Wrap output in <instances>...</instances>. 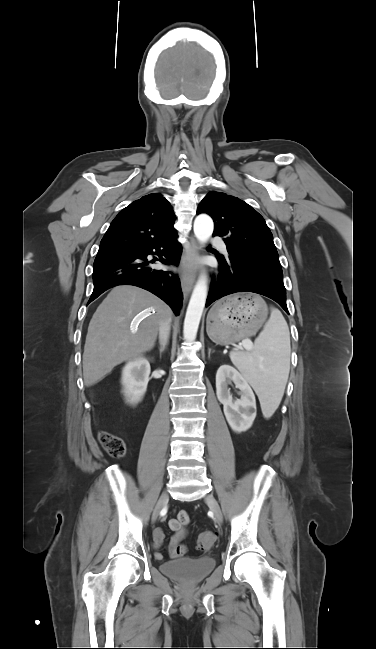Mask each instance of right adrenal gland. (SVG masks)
Returning a JSON list of instances; mask_svg holds the SVG:
<instances>
[{
    "instance_id": "obj_1",
    "label": "right adrenal gland",
    "mask_w": 376,
    "mask_h": 649,
    "mask_svg": "<svg viewBox=\"0 0 376 649\" xmlns=\"http://www.w3.org/2000/svg\"><path fill=\"white\" fill-rule=\"evenodd\" d=\"M163 351H164V348H160V350H159L160 357L162 356Z\"/></svg>"
}]
</instances>
